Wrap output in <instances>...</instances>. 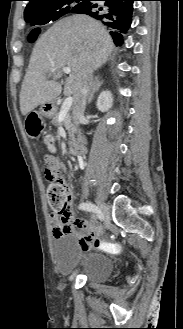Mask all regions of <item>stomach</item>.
<instances>
[{
    "label": "stomach",
    "mask_w": 183,
    "mask_h": 329,
    "mask_svg": "<svg viewBox=\"0 0 183 329\" xmlns=\"http://www.w3.org/2000/svg\"><path fill=\"white\" fill-rule=\"evenodd\" d=\"M56 112L55 100L42 104L40 114L43 116H52Z\"/></svg>",
    "instance_id": "obj_1"
}]
</instances>
